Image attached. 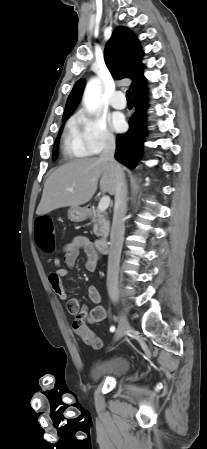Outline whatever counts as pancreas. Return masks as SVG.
<instances>
[{"label": "pancreas", "mask_w": 207, "mask_h": 449, "mask_svg": "<svg viewBox=\"0 0 207 449\" xmlns=\"http://www.w3.org/2000/svg\"><path fill=\"white\" fill-rule=\"evenodd\" d=\"M92 222L94 223L93 232L97 237L106 238L109 233L110 223L107 219V213L101 211H93L90 214Z\"/></svg>", "instance_id": "1"}]
</instances>
